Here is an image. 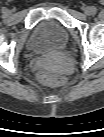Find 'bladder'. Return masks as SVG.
Instances as JSON below:
<instances>
[{"label":"bladder","instance_id":"1","mask_svg":"<svg viewBox=\"0 0 104 137\" xmlns=\"http://www.w3.org/2000/svg\"><path fill=\"white\" fill-rule=\"evenodd\" d=\"M67 40L64 28L54 23L43 24L39 31L37 41L31 46L33 52H38L47 47L61 46Z\"/></svg>","mask_w":104,"mask_h":137}]
</instances>
